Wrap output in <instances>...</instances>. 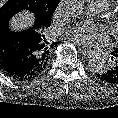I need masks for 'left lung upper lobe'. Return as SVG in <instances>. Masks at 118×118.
Masks as SVG:
<instances>
[{"instance_id":"left-lung-upper-lobe-1","label":"left lung upper lobe","mask_w":118,"mask_h":118,"mask_svg":"<svg viewBox=\"0 0 118 118\" xmlns=\"http://www.w3.org/2000/svg\"><path fill=\"white\" fill-rule=\"evenodd\" d=\"M112 53H114V54H115V53H118V49H116V50H115V51H113Z\"/></svg>"}]
</instances>
